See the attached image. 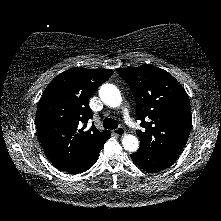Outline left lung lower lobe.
Listing matches in <instances>:
<instances>
[{"label":"left lung lower lobe","mask_w":221,"mask_h":221,"mask_svg":"<svg viewBox=\"0 0 221 221\" xmlns=\"http://www.w3.org/2000/svg\"><path fill=\"white\" fill-rule=\"evenodd\" d=\"M131 158L139 168L149 172L166 169L176 160V157L149 154L139 150L136 153L131 154Z\"/></svg>","instance_id":"left-lung-lower-lobe-1"}]
</instances>
